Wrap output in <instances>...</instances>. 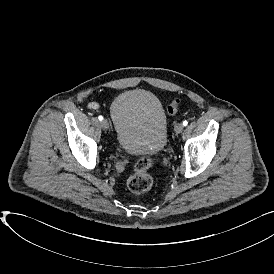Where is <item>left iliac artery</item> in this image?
<instances>
[{"label": "left iliac artery", "mask_w": 274, "mask_h": 274, "mask_svg": "<svg viewBox=\"0 0 274 274\" xmlns=\"http://www.w3.org/2000/svg\"><path fill=\"white\" fill-rule=\"evenodd\" d=\"M187 124H188V121H186V120L183 121V125H184V126H187Z\"/></svg>", "instance_id": "left-iliac-artery-1"}]
</instances>
